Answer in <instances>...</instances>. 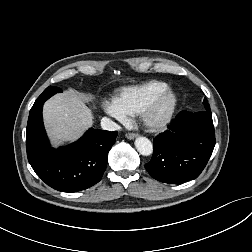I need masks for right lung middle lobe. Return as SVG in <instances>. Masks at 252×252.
<instances>
[{
  "mask_svg": "<svg viewBox=\"0 0 252 252\" xmlns=\"http://www.w3.org/2000/svg\"><path fill=\"white\" fill-rule=\"evenodd\" d=\"M62 92L61 88L58 87H54V86H49L47 87L44 92L38 97V99L36 100V102L34 103V106L39 105L40 103H44L48 98H50L52 95L56 94V93H60Z\"/></svg>",
  "mask_w": 252,
  "mask_h": 252,
  "instance_id": "dd1d6c3e",
  "label": "right lung middle lobe"
}]
</instances>
